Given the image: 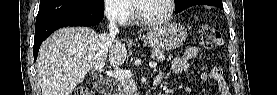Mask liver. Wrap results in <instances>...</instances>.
<instances>
[{"mask_svg":"<svg viewBox=\"0 0 277 95\" xmlns=\"http://www.w3.org/2000/svg\"><path fill=\"white\" fill-rule=\"evenodd\" d=\"M127 57L125 45L110 34H97L86 27L57 30L41 45L37 79L42 95H71L95 65L109 58L121 66Z\"/></svg>","mask_w":277,"mask_h":95,"instance_id":"1","label":"liver"}]
</instances>
